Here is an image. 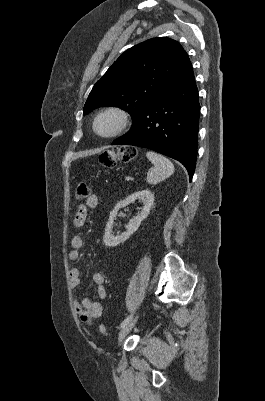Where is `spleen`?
<instances>
[{
	"mask_svg": "<svg viewBox=\"0 0 265 401\" xmlns=\"http://www.w3.org/2000/svg\"><path fill=\"white\" fill-rule=\"evenodd\" d=\"M146 156L151 160L152 164H154L147 172V182H149V184H158V182H162V180L168 178L170 174H173L174 164L170 162L169 158H165V156L157 154V152H153V150H148Z\"/></svg>",
	"mask_w": 265,
	"mask_h": 401,
	"instance_id": "3e777b00",
	"label": "spleen"
}]
</instances>
